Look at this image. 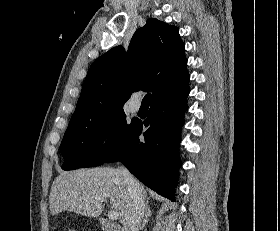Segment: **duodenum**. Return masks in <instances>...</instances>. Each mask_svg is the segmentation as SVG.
<instances>
[{"mask_svg": "<svg viewBox=\"0 0 280 231\" xmlns=\"http://www.w3.org/2000/svg\"><path fill=\"white\" fill-rule=\"evenodd\" d=\"M103 231H121L122 229L109 219L102 217L99 220Z\"/></svg>", "mask_w": 280, "mask_h": 231, "instance_id": "obj_1", "label": "duodenum"}]
</instances>
